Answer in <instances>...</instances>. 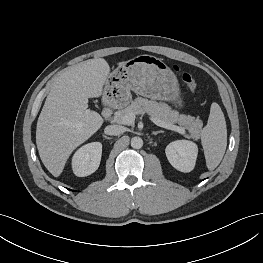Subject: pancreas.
Masks as SVG:
<instances>
[{"label":"pancreas","instance_id":"1","mask_svg":"<svg viewBox=\"0 0 263 263\" xmlns=\"http://www.w3.org/2000/svg\"><path fill=\"white\" fill-rule=\"evenodd\" d=\"M133 113L134 115H139L143 113H148L152 118L161 120L167 123H178L187 129L189 132L188 137L194 140H198L201 135L203 122L199 118H194L187 115H179L175 110H172L169 105L163 102H156L148 100L142 97L136 98L131 102L125 109L119 110L115 113L114 120L119 124H126L123 122V117ZM130 125V124H128Z\"/></svg>","mask_w":263,"mask_h":263}]
</instances>
